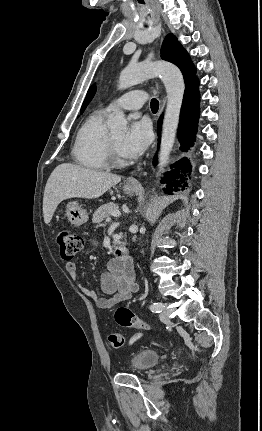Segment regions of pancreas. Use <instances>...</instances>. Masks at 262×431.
<instances>
[{
	"instance_id": "1",
	"label": "pancreas",
	"mask_w": 262,
	"mask_h": 431,
	"mask_svg": "<svg viewBox=\"0 0 262 431\" xmlns=\"http://www.w3.org/2000/svg\"><path fill=\"white\" fill-rule=\"evenodd\" d=\"M118 206L114 203H107L102 206H100L93 214L92 222L93 223H100L105 218H108L113 211H117Z\"/></svg>"
}]
</instances>
